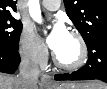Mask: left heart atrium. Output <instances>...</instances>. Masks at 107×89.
Returning a JSON list of instances; mask_svg holds the SVG:
<instances>
[{
	"instance_id": "39dd6f15",
	"label": "left heart atrium",
	"mask_w": 107,
	"mask_h": 89,
	"mask_svg": "<svg viewBox=\"0 0 107 89\" xmlns=\"http://www.w3.org/2000/svg\"><path fill=\"white\" fill-rule=\"evenodd\" d=\"M68 36L69 32L66 29L65 25L60 20H56L53 23L50 34L47 37V45L51 50L57 52Z\"/></svg>"
}]
</instances>
